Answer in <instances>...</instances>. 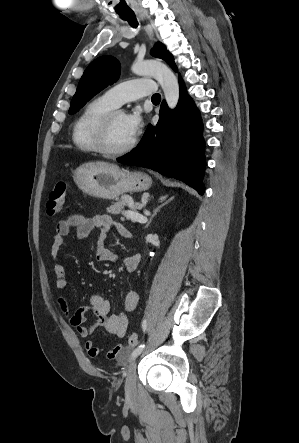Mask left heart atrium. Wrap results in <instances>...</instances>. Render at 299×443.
<instances>
[{
    "label": "left heart atrium",
    "mask_w": 299,
    "mask_h": 443,
    "mask_svg": "<svg viewBox=\"0 0 299 443\" xmlns=\"http://www.w3.org/2000/svg\"><path fill=\"white\" fill-rule=\"evenodd\" d=\"M125 123L130 133L135 136L143 126V118L139 109H134L125 115Z\"/></svg>",
    "instance_id": "left-heart-atrium-1"
}]
</instances>
